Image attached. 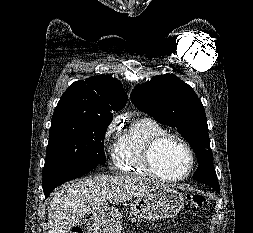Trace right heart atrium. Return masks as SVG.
I'll use <instances>...</instances> for the list:
<instances>
[{"label": "right heart atrium", "mask_w": 253, "mask_h": 233, "mask_svg": "<svg viewBox=\"0 0 253 233\" xmlns=\"http://www.w3.org/2000/svg\"><path fill=\"white\" fill-rule=\"evenodd\" d=\"M117 128H118V121L117 120L112 121L108 125L106 132H105V136H104L105 141H107L108 139H110L111 137H113L116 134Z\"/></svg>", "instance_id": "right-heart-atrium-1"}]
</instances>
